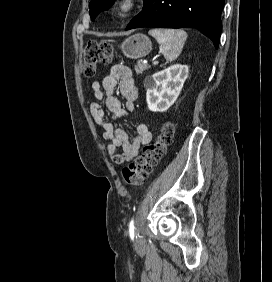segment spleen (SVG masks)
Returning a JSON list of instances; mask_svg holds the SVG:
<instances>
[{
	"mask_svg": "<svg viewBox=\"0 0 272 282\" xmlns=\"http://www.w3.org/2000/svg\"><path fill=\"white\" fill-rule=\"evenodd\" d=\"M161 46L162 54L167 62H172L180 55L187 33L179 29H160L155 28L149 31Z\"/></svg>",
	"mask_w": 272,
	"mask_h": 282,
	"instance_id": "obj_1",
	"label": "spleen"
}]
</instances>
